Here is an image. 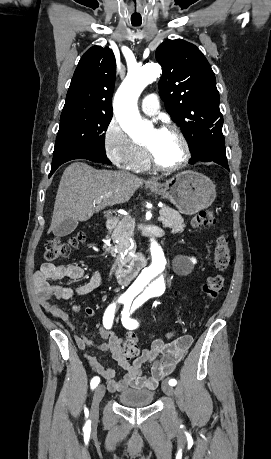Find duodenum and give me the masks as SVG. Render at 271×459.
I'll use <instances>...</instances> for the list:
<instances>
[{
  "mask_svg": "<svg viewBox=\"0 0 271 459\" xmlns=\"http://www.w3.org/2000/svg\"><path fill=\"white\" fill-rule=\"evenodd\" d=\"M116 225V221L113 217H109L106 220V227L108 230H113ZM144 266V260L141 257H136L132 260L129 267L121 273H118L116 276V280L118 284L122 286L129 285L133 279L137 276L140 270Z\"/></svg>",
  "mask_w": 271,
  "mask_h": 459,
  "instance_id": "1",
  "label": "duodenum"
}]
</instances>
